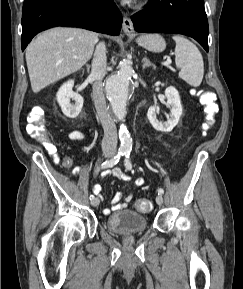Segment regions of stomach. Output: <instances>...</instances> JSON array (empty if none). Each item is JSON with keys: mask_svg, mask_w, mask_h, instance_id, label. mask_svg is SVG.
Instances as JSON below:
<instances>
[{"mask_svg": "<svg viewBox=\"0 0 243 289\" xmlns=\"http://www.w3.org/2000/svg\"><path fill=\"white\" fill-rule=\"evenodd\" d=\"M136 42L145 49L159 53L166 48L164 38L159 34H146L141 35L136 39Z\"/></svg>", "mask_w": 243, "mask_h": 289, "instance_id": "0dacf381", "label": "stomach"}]
</instances>
